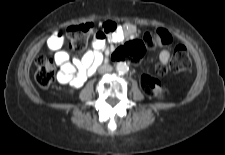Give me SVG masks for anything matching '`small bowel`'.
<instances>
[{
	"instance_id": "obj_1",
	"label": "small bowel",
	"mask_w": 225,
	"mask_h": 155,
	"mask_svg": "<svg viewBox=\"0 0 225 155\" xmlns=\"http://www.w3.org/2000/svg\"><path fill=\"white\" fill-rule=\"evenodd\" d=\"M133 32L131 26L120 28L114 22L104 23L102 30L94 36L92 47L93 51L87 52L81 58L70 59L69 54L62 48L68 43V36L63 31L54 32L47 40V47L53 53V59L59 67L58 81L62 84H68L73 88H79L83 85L87 77L91 76L96 67L102 60V50L107 40L120 41L122 37ZM170 58V52L163 49L159 53V61L166 65Z\"/></svg>"
}]
</instances>
